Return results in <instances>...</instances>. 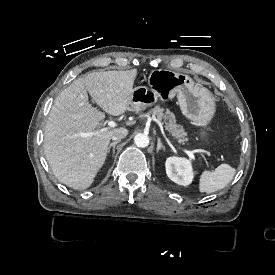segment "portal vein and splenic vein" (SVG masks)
Instances as JSON below:
<instances>
[{"label":"portal vein and splenic vein","instance_id":"portal-vein-and-splenic-vein-1","mask_svg":"<svg viewBox=\"0 0 275 275\" xmlns=\"http://www.w3.org/2000/svg\"><path fill=\"white\" fill-rule=\"evenodd\" d=\"M107 124H108V126H110V127H113V126L115 125L114 121H112V120H109V121L107 122ZM188 156H190L192 160H195V155H193V154H191V153H188ZM210 167H211L212 171H215V167H214L213 164H210Z\"/></svg>","mask_w":275,"mask_h":275}]
</instances>
